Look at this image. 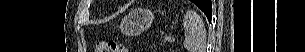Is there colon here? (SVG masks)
Wrapping results in <instances>:
<instances>
[{
  "label": "colon",
  "instance_id": "colon-1",
  "mask_svg": "<svg viewBox=\"0 0 305 52\" xmlns=\"http://www.w3.org/2000/svg\"><path fill=\"white\" fill-rule=\"evenodd\" d=\"M96 52H127L126 47L114 40H102L96 46Z\"/></svg>",
  "mask_w": 305,
  "mask_h": 52
}]
</instances>
